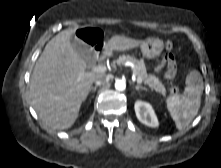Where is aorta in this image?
Instances as JSON below:
<instances>
[{
	"instance_id": "aorta-1",
	"label": "aorta",
	"mask_w": 221,
	"mask_h": 168,
	"mask_svg": "<svg viewBox=\"0 0 221 168\" xmlns=\"http://www.w3.org/2000/svg\"><path fill=\"white\" fill-rule=\"evenodd\" d=\"M115 89L118 91H124L126 89V82L123 80H117L115 82Z\"/></svg>"
}]
</instances>
